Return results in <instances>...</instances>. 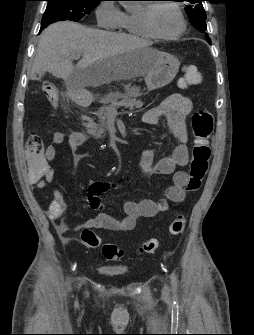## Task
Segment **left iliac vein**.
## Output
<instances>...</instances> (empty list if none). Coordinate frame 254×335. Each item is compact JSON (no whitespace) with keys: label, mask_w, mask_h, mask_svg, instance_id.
Segmentation results:
<instances>
[{"label":"left iliac vein","mask_w":254,"mask_h":335,"mask_svg":"<svg viewBox=\"0 0 254 335\" xmlns=\"http://www.w3.org/2000/svg\"><path fill=\"white\" fill-rule=\"evenodd\" d=\"M168 293H169V288H168V286H164V287H163V294H164V295H168Z\"/></svg>","instance_id":"left-iliac-vein-1"}]
</instances>
